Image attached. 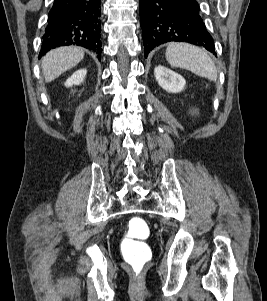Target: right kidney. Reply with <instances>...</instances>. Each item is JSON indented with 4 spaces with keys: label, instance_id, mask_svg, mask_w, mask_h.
Here are the masks:
<instances>
[{
    "label": "right kidney",
    "instance_id": "1",
    "mask_svg": "<svg viewBox=\"0 0 267 301\" xmlns=\"http://www.w3.org/2000/svg\"><path fill=\"white\" fill-rule=\"evenodd\" d=\"M86 74H87L86 69L77 70L75 73L72 74L71 77H69L66 80L65 86L66 87H72L73 85L81 84L84 81Z\"/></svg>",
    "mask_w": 267,
    "mask_h": 301
}]
</instances>
